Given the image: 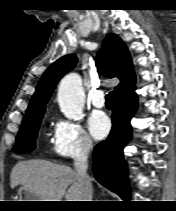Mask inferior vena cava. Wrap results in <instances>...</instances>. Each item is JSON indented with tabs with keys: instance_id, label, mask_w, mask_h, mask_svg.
<instances>
[{
	"instance_id": "inferior-vena-cava-1",
	"label": "inferior vena cava",
	"mask_w": 176,
	"mask_h": 211,
	"mask_svg": "<svg viewBox=\"0 0 176 211\" xmlns=\"http://www.w3.org/2000/svg\"><path fill=\"white\" fill-rule=\"evenodd\" d=\"M91 149L92 144L90 142H85L74 160V167L77 172L79 182L83 187V201H92V185L87 174L88 155Z\"/></svg>"
}]
</instances>
